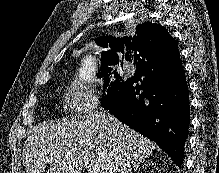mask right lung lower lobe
Returning <instances> with one entry per match:
<instances>
[{
  "label": "right lung lower lobe",
  "mask_w": 219,
  "mask_h": 173,
  "mask_svg": "<svg viewBox=\"0 0 219 173\" xmlns=\"http://www.w3.org/2000/svg\"><path fill=\"white\" fill-rule=\"evenodd\" d=\"M104 109L155 141L181 168L190 103L180 56L171 66L152 59L142 63Z\"/></svg>",
  "instance_id": "right-lung-lower-lobe-1"
}]
</instances>
